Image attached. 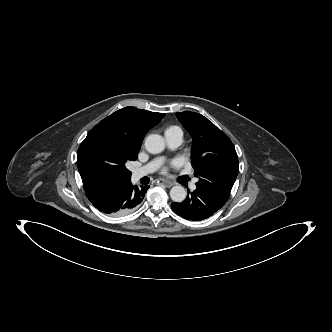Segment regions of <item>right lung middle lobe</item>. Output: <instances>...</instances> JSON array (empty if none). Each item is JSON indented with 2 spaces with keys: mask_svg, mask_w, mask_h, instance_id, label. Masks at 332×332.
Segmentation results:
<instances>
[{
  "mask_svg": "<svg viewBox=\"0 0 332 332\" xmlns=\"http://www.w3.org/2000/svg\"><path fill=\"white\" fill-rule=\"evenodd\" d=\"M143 135L122 114L115 112L88 133L77 152L83 185L131 179L126 165L137 159Z\"/></svg>",
  "mask_w": 332,
  "mask_h": 332,
  "instance_id": "obj_1",
  "label": "right lung middle lobe"
}]
</instances>
